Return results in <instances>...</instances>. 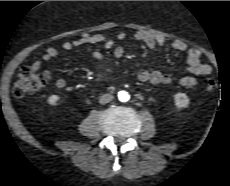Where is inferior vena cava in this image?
Wrapping results in <instances>:
<instances>
[{"instance_id":"602c4592","label":"inferior vena cava","mask_w":230,"mask_h":186,"mask_svg":"<svg viewBox=\"0 0 230 186\" xmlns=\"http://www.w3.org/2000/svg\"><path fill=\"white\" fill-rule=\"evenodd\" d=\"M114 98V96L110 93H106V94H103L101 97H100V104H106V103H109L110 101H112Z\"/></svg>"}]
</instances>
